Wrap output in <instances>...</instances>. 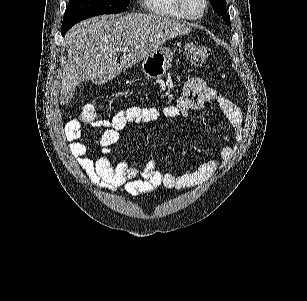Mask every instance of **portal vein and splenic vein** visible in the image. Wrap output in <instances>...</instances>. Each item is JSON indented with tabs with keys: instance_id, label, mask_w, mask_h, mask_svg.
<instances>
[{
	"instance_id": "18ae733b",
	"label": "portal vein and splenic vein",
	"mask_w": 307,
	"mask_h": 301,
	"mask_svg": "<svg viewBox=\"0 0 307 301\" xmlns=\"http://www.w3.org/2000/svg\"><path fill=\"white\" fill-rule=\"evenodd\" d=\"M117 50H122V52H126V50H129L128 46H120V48H117Z\"/></svg>"
}]
</instances>
